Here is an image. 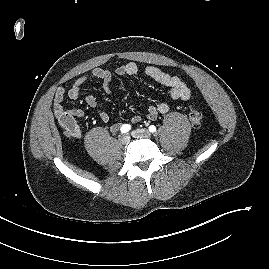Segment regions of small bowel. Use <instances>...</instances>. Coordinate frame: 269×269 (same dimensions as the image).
<instances>
[{
  "label": "small bowel",
  "mask_w": 269,
  "mask_h": 269,
  "mask_svg": "<svg viewBox=\"0 0 269 269\" xmlns=\"http://www.w3.org/2000/svg\"><path fill=\"white\" fill-rule=\"evenodd\" d=\"M140 71H143V73L149 78H151L153 81L168 88L169 96L172 101L186 102L190 99L191 91L189 87L179 77L165 73L155 66L148 65L141 67L135 62H129L120 65L115 69V73L118 76H133L138 74ZM112 77L113 74L111 71L102 68H95L90 74L83 75L77 78L68 89L64 86H61L57 89L53 101L54 115L71 137L78 138L81 136V130L77 125L75 119L83 117L84 111L82 109H65L63 107V101L65 96H68L72 100L78 99L82 86L89 80L101 81L104 91L108 95H112ZM86 103L89 107L97 110L98 116L101 121H109V114L98 107L97 99L93 94H88L86 96ZM169 109L170 104L167 102H161L155 106L152 105L148 108L147 117L150 120H154L159 114L167 113ZM66 118L69 119L68 123L66 122ZM140 120L141 117L139 115H134L131 118V121L133 123H137ZM119 128L120 124L115 123L111 126V131L116 132L119 130Z\"/></svg>",
  "instance_id": "obj_1"
}]
</instances>
